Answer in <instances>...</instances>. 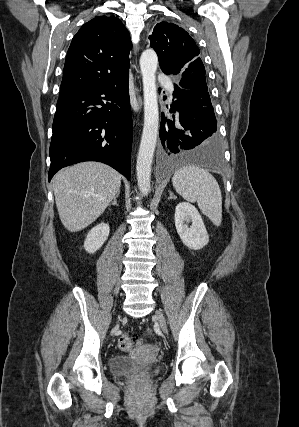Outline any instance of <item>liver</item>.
<instances>
[{
	"mask_svg": "<svg viewBox=\"0 0 299 427\" xmlns=\"http://www.w3.org/2000/svg\"><path fill=\"white\" fill-rule=\"evenodd\" d=\"M60 220L70 232L94 222L121 186V175L99 162H82L60 170L53 178Z\"/></svg>",
	"mask_w": 299,
	"mask_h": 427,
	"instance_id": "obj_1",
	"label": "liver"
}]
</instances>
